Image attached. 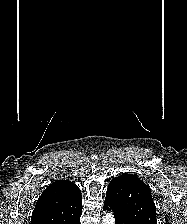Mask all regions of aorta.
Returning <instances> with one entry per match:
<instances>
[{"label":"aorta","instance_id":"1","mask_svg":"<svg viewBox=\"0 0 187 224\" xmlns=\"http://www.w3.org/2000/svg\"><path fill=\"white\" fill-rule=\"evenodd\" d=\"M102 224H114V216L112 213H106L103 216Z\"/></svg>","mask_w":187,"mask_h":224}]
</instances>
